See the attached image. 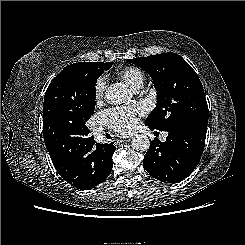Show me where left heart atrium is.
I'll use <instances>...</instances> for the list:
<instances>
[{
	"label": "left heart atrium",
	"instance_id": "obj_1",
	"mask_svg": "<svg viewBox=\"0 0 245 245\" xmlns=\"http://www.w3.org/2000/svg\"><path fill=\"white\" fill-rule=\"evenodd\" d=\"M143 114L139 105L131 107H116L102 114L104 122L115 132L126 135L135 130L138 125V117Z\"/></svg>",
	"mask_w": 245,
	"mask_h": 245
}]
</instances>
